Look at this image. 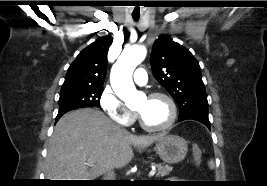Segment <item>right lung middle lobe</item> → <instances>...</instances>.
Instances as JSON below:
<instances>
[{
  "mask_svg": "<svg viewBox=\"0 0 267 186\" xmlns=\"http://www.w3.org/2000/svg\"><path fill=\"white\" fill-rule=\"evenodd\" d=\"M103 87L70 86L62 87L59 98V112L82 107H98Z\"/></svg>",
  "mask_w": 267,
  "mask_h": 186,
  "instance_id": "dd1d6c3e",
  "label": "right lung middle lobe"
}]
</instances>
